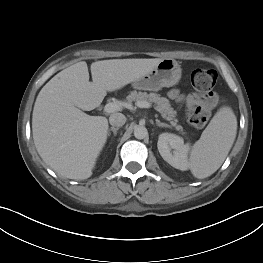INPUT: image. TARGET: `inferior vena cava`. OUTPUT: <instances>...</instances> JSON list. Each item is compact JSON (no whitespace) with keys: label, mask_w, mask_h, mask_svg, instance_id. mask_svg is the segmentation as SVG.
I'll return each mask as SVG.
<instances>
[{"label":"inferior vena cava","mask_w":263,"mask_h":263,"mask_svg":"<svg viewBox=\"0 0 263 263\" xmlns=\"http://www.w3.org/2000/svg\"><path fill=\"white\" fill-rule=\"evenodd\" d=\"M109 122L112 126L121 127L126 122V117L122 113H114L109 117Z\"/></svg>","instance_id":"602c4592"}]
</instances>
